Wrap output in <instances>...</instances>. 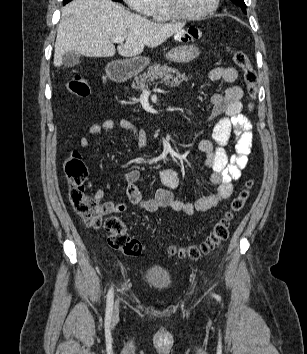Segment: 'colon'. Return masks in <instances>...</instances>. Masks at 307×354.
<instances>
[{"mask_svg": "<svg viewBox=\"0 0 307 354\" xmlns=\"http://www.w3.org/2000/svg\"><path fill=\"white\" fill-rule=\"evenodd\" d=\"M231 54L234 63L242 71L247 95L251 100L250 107L252 108L258 92L257 73L244 51L233 50ZM67 87L72 94L80 98H86L90 94L89 82L82 73L72 75ZM64 170L69 183V202L85 224L91 228L103 227L108 232L107 241L111 248L119 250L128 256L140 255L142 253V244L129 236L123 219L118 216L104 218L107 215L105 206L86 192L85 183L88 171L78 151H73L68 156L64 163ZM252 186V180L245 182L244 187L232 200L228 210L214 224L210 233L201 243L188 247L171 245L168 247V254L176 255L179 258L198 259L223 243L228 238L230 223L234 214L241 211L244 207Z\"/></svg>", "mask_w": 307, "mask_h": 354, "instance_id": "1", "label": "colon"}]
</instances>
